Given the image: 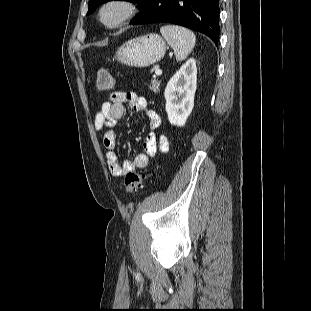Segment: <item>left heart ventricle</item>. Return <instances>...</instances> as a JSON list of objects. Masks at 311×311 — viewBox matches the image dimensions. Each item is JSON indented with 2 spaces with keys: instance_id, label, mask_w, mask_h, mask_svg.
<instances>
[{
  "instance_id": "1",
  "label": "left heart ventricle",
  "mask_w": 311,
  "mask_h": 311,
  "mask_svg": "<svg viewBox=\"0 0 311 311\" xmlns=\"http://www.w3.org/2000/svg\"><path fill=\"white\" fill-rule=\"evenodd\" d=\"M116 15H117V10L116 9H110L106 13V18L108 20H112L116 17Z\"/></svg>"
}]
</instances>
